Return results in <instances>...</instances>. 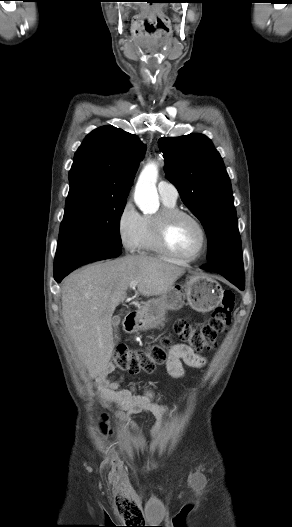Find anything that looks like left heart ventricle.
Instances as JSON below:
<instances>
[{"label": "left heart ventricle", "mask_w": 292, "mask_h": 527, "mask_svg": "<svg viewBox=\"0 0 292 527\" xmlns=\"http://www.w3.org/2000/svg\"><path fill=\"white\" fill-rule=\"evenodd\" d=\"M168 242L176 253L190 257L200 249L201 233L194 221L187 217H179L170 225Z\"/></svg>", "instance_id": "b2bd125f"}]
</instances>
